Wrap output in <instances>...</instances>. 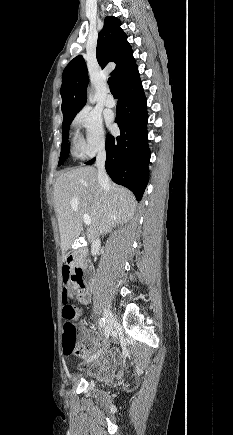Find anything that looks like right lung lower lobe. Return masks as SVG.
I'll use <instances>...</instances> for the list:
<instances>
[{
  "label": "right lung lower lobe",
  "instance_id": "right-lung-lower-lobe-1",
  "mask_svg": "<svg viewBox=\"0 0 233 435\" xmlns=\"http://www.w3.org/2000/svg\"><path fill=\"white\" fill-rule=\"evenodd\" d=\"M119 100L115 122L120 136L106 138L105 168L111 179L130 189L141 200L149 180L150 149L147 132V101L139 73L118 84ZM95 158L86 162L91 165Z\"/></svg>",
  "mask_w": 233,
  "mask_h": 435
}]
</instances>
